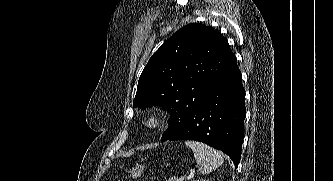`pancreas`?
Returning a JSON list of instances; mask_svg holds the SVG:
<instances>
[{
	"label": "pancreas",
	"instance_id": "1",
	"mask_svg": "<svg viewBox=\"0 0 333 181\" xmlns=\"http://www.w3.org/2000/svg\"><path fill=\"white\" fill-rule=\"evenodd\" d=\"M168 181H180V178H178L177 176H174L172 178H169Z\"/></svg>",
	"mask_w": 333,
	"mask_h": 181
}]
</instances>
